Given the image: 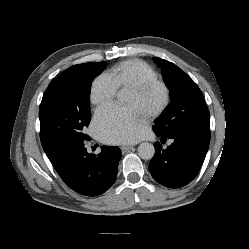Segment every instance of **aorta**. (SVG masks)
Wrapping results in <instances>:
<instances>
[{"instance_id":"aorta-1","label":"aorta","mask_w":249,"mask_h":249,"mask_svg":"<svg viewBox=\"0 0 249 249\" xmlns=\"http://www.w3.org/2000/svg\"><path fill=\"white\" fill-rule=\"evenodd\" d=\"M118 100L119 101H124L125 99V92L123 90H120L118 92ZM138 155L141 159L144 160H150L153 158L154 154H155V148L153 146V144L148 143V142H143L138 146Z\"/></svg>"}]
</instances>
